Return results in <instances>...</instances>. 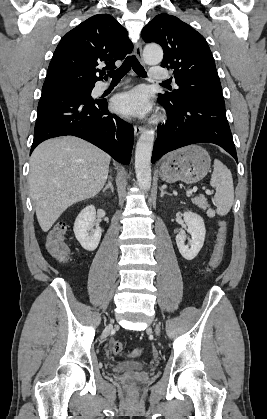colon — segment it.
Listing matches in <instances>:
<instances>
[{
	"label": "colon",
	"mask_w": 267,
	"mask_h": 419,
	"mask_svg": "<svg viewBox=\"0 0 267 419\" xmlns=\"http://www.w3.org/2000/svg\"><path fill=\"white\" fill-rule=\"evenodd\" d=\"M66 224L58 223L49 232L46 240V248L50 255L60 262H66L70 258V249L65 242ZM227 226L224 221L219 223V228L216 235V243L208 263V272L214 271L221 263L224 247L226 243ZM114 354H121L123 352V344L120 341H115L111 347ZM141 353L140 349L132 351V355L136 356Z\"/></svg>",
	"instance_id": "1"
}]
</instances>
